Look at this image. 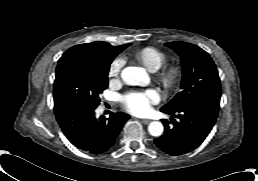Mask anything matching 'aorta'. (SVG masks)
Instances as JSON below:
<instances>
[{
  "instance_id": "1",
  "label": "aorta",
  "mask_w": 258,
  "mask_h": 181,
  "mask_svg": "<svg viewBox=\"0 0 258 181\" xmlns=\"http://www.w3.org/2000/svg\"><path fill=\"white\" fill-rule=\"evenodd\" d=\"M121 77L123 81L132 86L144 85L148 81L146 71L140 67H126L122 70ZM164 127L159 121H153L148 126V132L155 137H159L163 134Z\"/></svg>"
}]
</instances>
